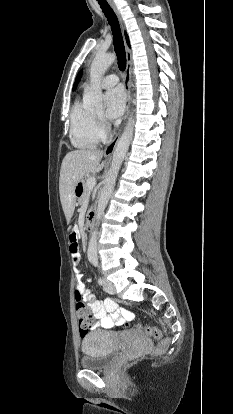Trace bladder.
Listing matches in <instances>:
<instances>
[{
    "label": "bladder",
    "instance_id": "1",
    "mask_svg": "<svg viewBox=\"0 0 233 414\" xmlns=\"http://www.w3.org/2000/svg\"><path fill=\"white\" fill-rule=\"evenodd\" d=\"M116 333L106 330H92L82 340V351L84 353L80 365L87 370L107 369L113 363L116 356ZM140 342L150 346V342L139 337Z\"/></svg>",
    "mask_w": 233,
    "mask_h": 414
}]
</instances>
